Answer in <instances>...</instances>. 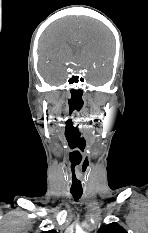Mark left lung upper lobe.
<instances>
[{
  "label": "left lung upper lobe",
  "instance_id": "left-lung-upper-lobe-1",
  "mask_svg": "<svg viewBox=\"0 0 148 233\" xmlns=\"http://www.w3.org/2000/svg\"><path fill=\"white\" fill-rule=\"evenodd\" d=\"M97 233H127V231L121 227L118 223H110L102 226Z\"/></svg>",
  "mask_w": 148,
  "mask_h": 233
}]
</instances>
